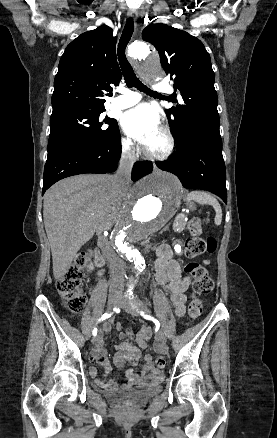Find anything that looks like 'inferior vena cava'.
<instances>
[{
    "label": "inferior vena cava",
    "instance_id": "1",
    "mask_svg": "<svg viewBox=\"0 0 277 438\" xmlns=\"http://www.w3.org/2000/svg\"><path fill=\"white\" fill-rule=\"evenodd\" d=\"M135 160L136 158L132 152H123L121 154L119 168L113 176L119 190H127L131 182V172ZM109 264L112 272L110 290H121L125 278V264L120 258L109 260Z\"/></svg>",
    "mask_w": 277,
    "mask_h": 438
}]
</instances>
